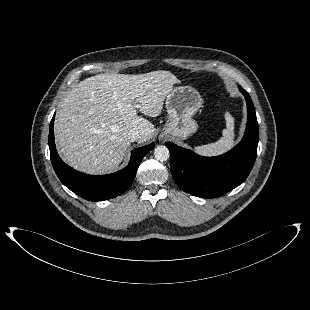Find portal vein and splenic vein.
<instances>
[{
	"label": "portal vein and splenic vein",
	"mask_w": 310,
	"mask_h": 310,
	"mask_svg": "<svg viewBox=\"0 0 310 310\" xmlns=\"http://www.w3.org/2000/svg\"><path fill=\"white\" fill-rule=\"evenodd\" d=\"M135 107H136V108H138V107H139V105H135Z\"/></svg>",
	"instance_id": "obj_1"
}]
</instances>
